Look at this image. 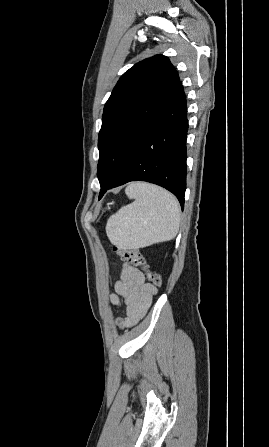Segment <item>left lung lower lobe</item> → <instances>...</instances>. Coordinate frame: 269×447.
<instances>
[{
	"label": "left lung lower lobe",
	"instance_id": "1",
	"mask_svg": "<svg viewBox=\"0 0 269 447\" xmlns=\"http://www.w3.org/2000/svg\"><path fill=\"white\" fill-rule=\"evenodd\" d=\"M186 97L179 81L166 113L143 136L118 176L102 186L101 198L111 188L131 181H147L172 192L184 206L186 190Z\"/></svg>",
	"mask_w": 269,
	"mask_h": 447
}]
</instances>
